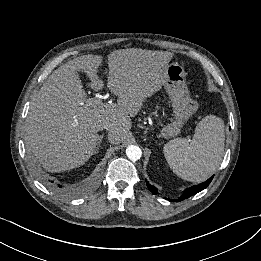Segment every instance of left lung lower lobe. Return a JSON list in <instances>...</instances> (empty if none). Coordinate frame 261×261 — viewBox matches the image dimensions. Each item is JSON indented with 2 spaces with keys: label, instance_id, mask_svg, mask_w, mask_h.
Wrapping results in <instances>:
<instances>
[{
  "label": "left lung lower lobe",
  "instance_id": "left-lung-lower-lobe-1",
  "mask_svg": "<svg viewBox=\"0 0 261 261\" xmlns=\"http://www.w3.org/2000/svg\"><path fill=\"white\" fill-rule=\"evenodd\" d=\"M213 179V176L210 177L207 181L201 183V184H198V185H194V186H191L189 188H186L183 192V194L177 199V200H174V201H182L184 199H187L189 197H191L192 195H195L196 193L202 191L203 189H205L209 184L210 182L212 181ZM147 183V187L149 188V190L153 193V194H157L158 193V190L156 187L152 186L151 184H149L148 182Z\"/></svg>",
  "mask_w": 261,
  "mask_h": 261
}]
</instances>
